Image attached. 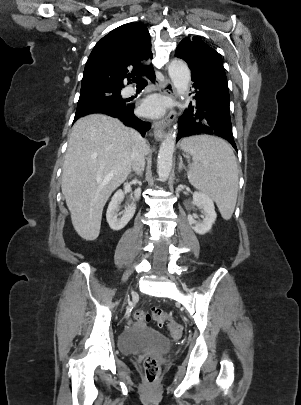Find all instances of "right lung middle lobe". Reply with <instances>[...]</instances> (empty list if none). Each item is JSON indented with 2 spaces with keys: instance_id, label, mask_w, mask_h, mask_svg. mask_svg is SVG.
Returning <instances> with one entry per match:
<instances>
[{
  "instance_id": "dd1d6c3e",
  "label": "right lung middle lobe",
  "mask_w": 301,
  "mask_h": 405,
  "mask_svg": "<svg viewBox=\"0 0 301 405\" xmlns=\"http://www.w3.org/2000/svg\"><path fill=\"white\" fill-rule=\"evenodd\" d=\"M121 89L109 87H95L80 91L76 114H83L102 107L126 106L120 96Z\"/></svg>"
}]
</instances>
